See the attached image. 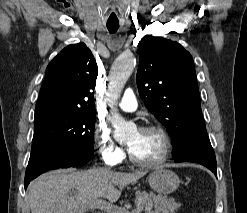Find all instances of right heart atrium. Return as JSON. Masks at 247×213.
Listing matches in <instances>:
<instances>
[{
    "label": "right heart atrium",
    "instance_id": "obj_1",
    "mask_svg": "<svg viewBox=\"0 0 247 213\" xmlns=\"http://www.w3.org/2000/svg\"><path fill=\"white\" fill-rule=\"evenodd\" d=\"M93 137L97 152L105 164L116 166L123 162L124 150L114 141L105 124L96 125Z\"/></svg>",
    "mask_w": 247,
    "mask_h": 213
}]
</instances>
